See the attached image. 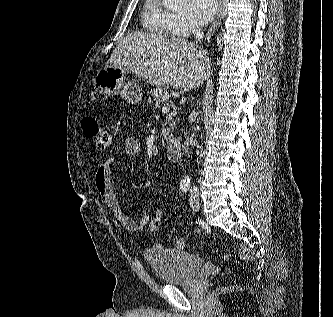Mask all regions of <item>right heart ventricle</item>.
Returning <instances> with one entry per match:
<instances>
[{
	"label": "right heart ventricle",
	"instance_id": "1",
	"mask_svg": "<svg viewBox=\"0 0 333 317\" xmlns=\"http://www.w3.org/2000/svg\"><path fill=\"white\" fill-rule=\"evenodd\" d=\"M143 27L160 36H172L173 13L170 12L161 0H145L142 10Z\"/></svg>",
	"mask_w": 333,
	"mask_h": 317
}]
</instances>
